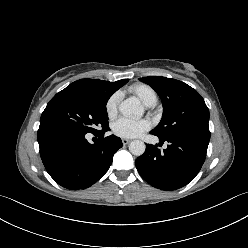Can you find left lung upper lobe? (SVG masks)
Returning a JSON list of instances; mask_svg holds the SVG:
<instances>
[{
	"label": "left lung upper lobe",
	"mask_w": 248,
	"mask_h": 248,
	"mask_svg": "<svg viewBox=\"0 0 248 248\" xmlns=\"http://www.w3.org/2000/svg\"><path fill=\"white\" fill-rule=\"evenodd\" d=\"M140 81L150 85L163 103L161 122L152 134L166 139L182 132H209V110L195 89L179 80L160 76L143 77Z\"/></svg>",
	"instance_id": "5c2ea615"
}]
</instances>
